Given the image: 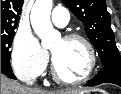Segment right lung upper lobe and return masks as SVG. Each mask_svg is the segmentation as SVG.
I'll return each instance as SVG.
<instances>
[{
  "label": "right lung upper lobe",
  "instance_id": "right-lung-upper-lobe-1",
  "mask_svg": "<svg viewBox=\"0 0 121 94\" xmlns=\"http://www.w3.org/2000/svg\"><path fill=\"white\" fill-rule=\"evenodd\" d=\"M23 0H1V32H12L17 28Z\"/></svg>",
  "mask_w": 121,
  "mask_h": 94
}]
</instances>
